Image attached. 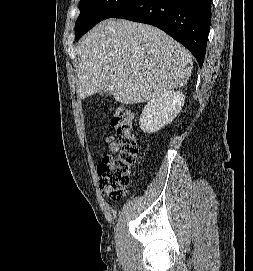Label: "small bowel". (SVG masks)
Wrapping results in <instances>:
<instances>
[{
	"label": "small bowel",
	"mask_w": 253,
	"mask_h": 271,
	"mask_svg": "<svg viewBox=\"0 0 253 271\" xmlns=\"http://www.w3.org/2000/svg\"><path fill=\"white\" fill-rule=\"evenodd\" d=\"M107 141L111 143L112 149H116V145L114 143H112V138H108Z\"/></svg>",
	"instance_id": "small-bowel-1"
}]
</instances>
